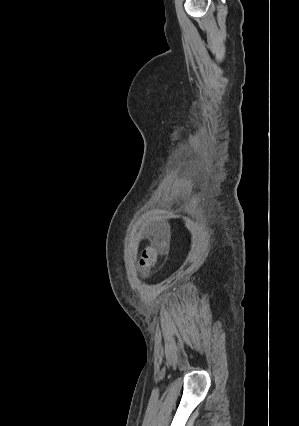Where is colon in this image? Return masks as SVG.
<instances>
[{
	"label": "colon",
	"mask_w": 299,
	"mask_h": 426,
	"mask_svg": "<svg viewBox=\"0 0 299 426\" xmlns=\"http://www.w3.org/2000/svg\"><path fill=\"white\" fill-rule=\"evenodd\" d=\"M157 261V251L155 249H147L143 252L141 265L145 268H151Z\"/></svg>",
	"instance_id": "5ec220e1"
}]
</instances>
